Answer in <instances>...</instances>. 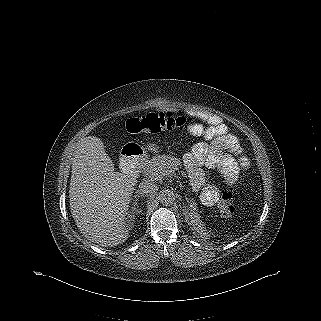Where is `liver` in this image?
<instances>
[{"instance_id":"obj_1","label":"liver","mask_w":321,"mask_h":321,"mask_svg":"<svg viewBox=\"0 0 321 321\" xmlns=\"http://www.w3.org/2000/svg\"><path fill=\"white\" fill-rule=\"evenodd\" d=\"M98 137L88 136L77 145L72 163L69 202L80 232L103 247L125 242L129 203L137 180L115 172L114 164Z\"/></svg>"}]
</instances>
